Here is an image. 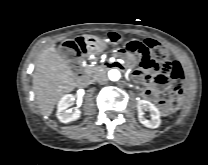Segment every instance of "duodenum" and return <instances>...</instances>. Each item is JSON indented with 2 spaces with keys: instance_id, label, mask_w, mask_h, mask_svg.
Here are the masks:
<instances>
[{
  "instance_id": "410a0bca",
  "label": "duodenum",
  "mask_w": 208,
  "mask_h": 165,
  "mask_svg": "<svg viewBox=\"0 0 208 165\" xmlns=\"http://www.w3.org/2000/svg\"><path fill=\"white\" fill-rule=\"evenodd\" d=\"M104 68H108L109 65L108 64H104L103 65ZM92 81V78L89 76V75H86V74H81L79 76V83L80 85L82 86H86V85H89Z\"/></svg>"
}]
</instances>
